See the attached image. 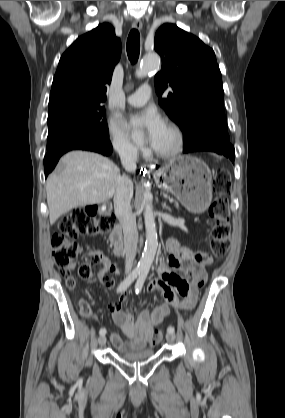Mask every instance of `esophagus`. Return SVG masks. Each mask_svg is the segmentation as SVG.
<instances>
[{
  "label": "esophagus",
  "mask_w": 285,
  "mask_h": 418,
  "mask_svg": "<svg viewBox=\"0 0 285 418\" xmlns=\"http://www.w3.org/2000/svg\"><path fill=\"white\" fill-rule=\"evenodd\" d=\"M132 27L134 29L140 30L142 28V22H141V20L140 19L134 20L133 23H132ZM154 167H155V165L148 164V165L145 166V169H147L148 171H151V170L154 169Z\"/></svg>",
  "instance_id": "1"
}]
</instances>
